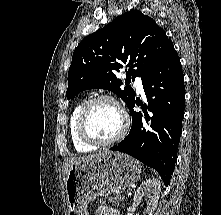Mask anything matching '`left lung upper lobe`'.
<instances>
[{
  "mask_svg": "<svg viewBox=\"0 0 221 215\" xmlns=\"http://www.w3.org/2000/svg\"><path fill=\"white\" fill-rule=\"evenodd\" d=\"M170 44L151 17L138 10L120 15L76 47L68 72L67 99L86 89L102 88L116 93L129 106L135 92L130 86L121 88L123 83L115 73L126 65L133 81L136 76L143 78Z\"/></svg>",
  "mask_w": 221,
  "mask_h": 215,
  "instance_id": "1",
  "label": "left lung upper lobe"
}]
</instances>
